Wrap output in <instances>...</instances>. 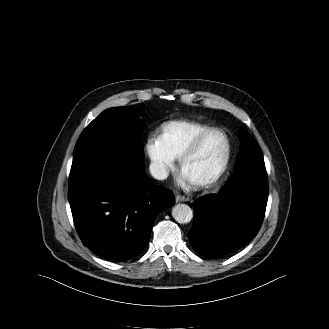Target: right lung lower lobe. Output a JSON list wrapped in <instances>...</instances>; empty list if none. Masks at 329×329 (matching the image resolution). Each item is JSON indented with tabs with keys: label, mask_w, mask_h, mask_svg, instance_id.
Instances as JSON below:
<instances>
[{
	"label": "right lung lower lobe",
	"mask_w": 329,
	"mask_h": 329,
	"mask_svg": "<svg viewBox=\"0 0 329 329\" xmlns=\"http://www.w3.org/2000/svg\"><path fill=\"white\" fill-rule=\"evenodd\" d=\"M68 199L83 244L104 259L125 261L149 243L156 216L172 206L171 191L144 170L92 164L70 175Z\"/></svg>",
	"instance_id": "98d812e1"
}]
</instances>
